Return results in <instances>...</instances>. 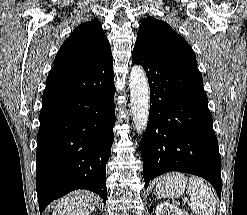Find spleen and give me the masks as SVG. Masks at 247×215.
Returning <instances> with one entry per match:
<instances>
[{
    "label": "spleen",
    "instance_id": "spleen-1",
    "mask_svg": "<svg viewBox=\"0 0 247 215\" xmlns=\"http://www.w3.org/2000/svg\"><path fill=\"white\" fill-rule=\"evenodd\" d=\"M187 194L190 196L191 210L196 215H215V195L202 178L193 176L189 179Z\"/></svg>",
    "mask_w": 247,
    "mask_h": 215
}]
</instances>
